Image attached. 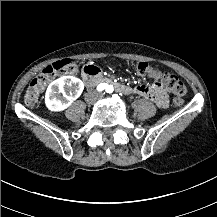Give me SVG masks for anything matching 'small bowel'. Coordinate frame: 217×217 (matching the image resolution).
I'll use <instances>...</instances> for the list:
<instances>
[{
    "mask_svg": "<svg viewBox=\"0 0 217 217\" xmlns=\"http://www.w3.org/2000/svg\"><path fill=\"white\" fill-rule=\"evenodd\" d=\"M135 94L146 97L152 102L156 103L161 107H166L168 104L167 97L161 87L157 86V84H153L152 86L140 85L134 88Z\"/></svg>",
    "mask_w": 217,
    "mask_h": 217,
    "instance_id": "small-bowel-1",
    "label": "small bowel"
}]
</instances>
